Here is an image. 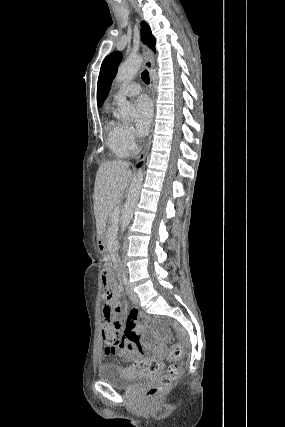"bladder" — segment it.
I'll return each mask as SVG.
<instances>
[{
	"mask_svg": "<svg viewBox=\"0 0 285 427\" xmlns=\"http://www.w3.org/2000/svg\"><path fill=\"white\" fill-rule=\"evenodd\" d=\"M97 376L102 382L127 389L135 382L145 378H155L156 374L146 373L135 368H124L116 364H104L100 366Z\"/></svg>",
	"mask_w": 285,
	"mask_h": 427,
	"instance_id": "obj_1",
	"label": "bladder"
}]
</instances>
